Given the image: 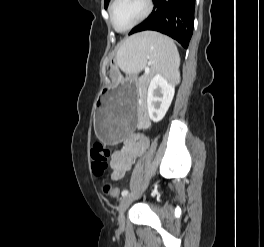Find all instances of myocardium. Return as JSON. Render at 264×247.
<instances>
[{
    "instance_id": "1",
    "label": "myocardium",
    "mask_w": 264,
    "mask_h": 247,
    "mask_svg": "<svg viewBox=\"0 0 264 247\" xmlns=\"http://www.w3.org/2000/svg\"><path fill=\"white\" fill-rule=\"evenodd\" d=\"M117 2H118V0H113L111 5H110V8H109V20H110V23H111L112 27L117 32H120V33H124V32L130 31L133 28H135L136 26H138L139 24H141L142 22H144L149 17V15L151 14V12L153 10V0H145L146 9H145L144 13L142 14V16L137 21H135L133 24H131L130 26L121 29V28L116 26V24L114 22V17H113V15H114V7H115Z\"/></svg>"
}]
</instances>
